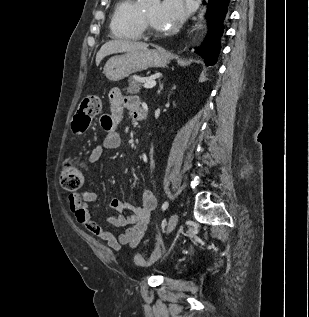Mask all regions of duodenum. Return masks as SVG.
Returning a JSON list of instances; mask_svg holds the SVG:
<instances>
[{"label":"duodenum","mask_w":309,"mask_h":317,"mask_svg":"<svg viewBox=\"0 0 309 317\" xmlns=\"http://www.w3.org/2000/svg\"><path fill=\"white\" fill-rule=\"evenodd\" d=\"M145 118V112L143 109H141L140 114H139V119L142 120Z\"/></svg>","instance_id":"1"}]
</instances>
